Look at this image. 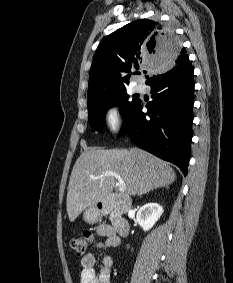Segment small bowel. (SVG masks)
I'll list each match as a JSON object with an SVG mask.
<instances>
[{
    "mask_svg": "<svg viewBox=\"0 0 233 283\" xmlns=\"http://www.w3.org/2000/svg\"><path fill=\"white\" fill-rule=\"evenodd\" d=\"M97 233L104 237L103 241L96 243L95 247L97 249L111 248L118 245L119 239L111 226L106 224L99 225ZM94 265L95 256L93 254H86L81 258L80 283H111L113 259L110 256L104 257L98 274Z\"/></svg>",
    "mask_w": 233,
    "mask_h": 283,
    "instance_id": "1",
    "label": "small bowel"
}]
</instances>
